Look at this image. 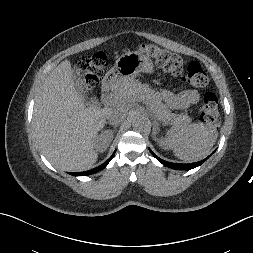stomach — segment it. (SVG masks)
Segmentation results:
<instances>
[{
  "instance_id": "stomach-1",
  "label": "stomach",
  "mask_w": 253,
  "mask_h": 253,
  "mask_svg": "<svg viewBox=\"0 0 253 253\" xmlns=\"http://www.w3.org/2000/svg\"><path fill=\"white\" fill-rule=\"evenodd\" d=\"M140 72L153 73L152 60L140 52H127L121 55L114 67L106 73L103 85L112 90L118 89L133 80Z\"/></svg>"
}]
</instances>
